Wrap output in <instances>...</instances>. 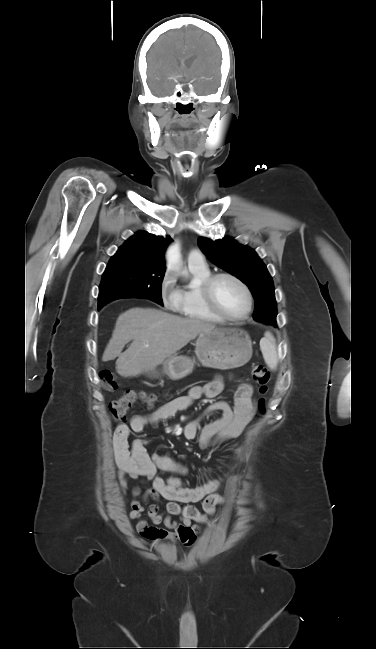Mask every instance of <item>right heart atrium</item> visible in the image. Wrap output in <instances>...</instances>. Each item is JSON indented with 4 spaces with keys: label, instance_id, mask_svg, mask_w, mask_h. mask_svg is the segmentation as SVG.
<instances>
[{
    "label": "right heart atrium",
    "instance_id": "obj_1",
    "mask_svg": "<svg viewBox=\"0 0 376 649\" xmlns=\"http://www.w3.org/2000/svg\"><path fill=\"white\" fill-rule=\"evenodd\" d=\"M161 301L168 309L175 310L178 306L180 295L175 286V275L172 271H165L159 287Z\"/></svg>",
    "mask_w": 376,
    "mask_h": 649
}]
</instances>
